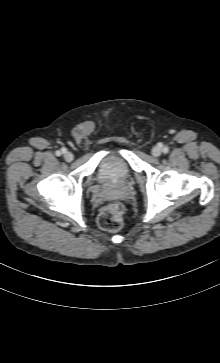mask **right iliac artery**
I'll return each instance as SVG.
<instances>
[{"label": "right iliac artery", "mask_w": 220, "mask_h": 363, "mask_svg": "<svg viewBox=\"0 0 220 363\" xmlns=\"http://www.w3.org/2000/svg\"><path fill=\"white\" fill-rule=\"evenodd\" d=\"M66 149H62L61 151H56V155L60 156L62 153H65Z\"/></svg>", "instance_id": "82829eb1"}]
</instances>
